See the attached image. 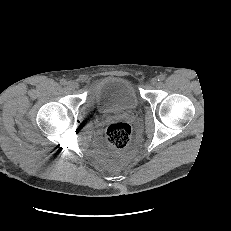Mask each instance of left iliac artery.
Wrapping results in <instances>:
<instances>
[{
  "instance_id": "1",
  "label": "left iliac artery",
  "mask_w": 231,
  "mask_h": 231,
  "mask_svg": "<svg viewBox=\"0 0 231 231\" xmlns=\"http://www.w3.org/2000/svg\"><path fill=\"white\" fill-rule=\"evenodd\" d=\"M165 75L164 74H161L158 76V81H163L165 79Z\"/></svg>"
}]
</instances>
